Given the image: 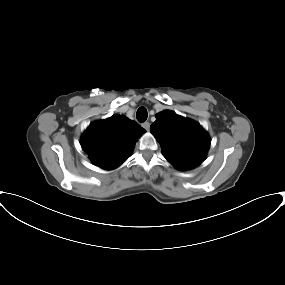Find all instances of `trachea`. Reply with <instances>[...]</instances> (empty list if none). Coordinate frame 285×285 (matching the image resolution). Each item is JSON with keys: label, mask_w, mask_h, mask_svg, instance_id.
I'll return each mask as SVG.
<instances>
[{"label": "trachea", "mask_w": 285, "mask_h": 285, "mask_svg": "<svg viewBox=\"0 0 285 285\" xmlns=\"http://www.w3.org/2000/svg\"><path fill=\"white\" fill-rule=\"evenodd\" d=\"M136 117H137L138 121H140V122L146 121V119L148 117L147 110L144 107H140L137 110Z\"/></svg>", "instance_id": "3493384b"}]
</instances>
